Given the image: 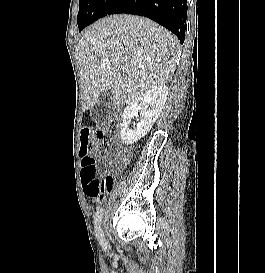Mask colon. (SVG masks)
<instances>
[{
	"label": "colon",
	"instance_id": "obj_1",
	"mask_svg": "<svg viewBox=\"0 0 265 273\" xmlns=\"http://www.w3.org/2000/svg\"><path fill=\"white\" fill-rule=\"evenodd\" d=\"M119 121L113 120L106 125L81 131L82 183L86 195L105 198L113 188V178L107 176L98 178L97 156L103 144L109 145V140L119 129ZM122 163L124 157H121Z\"/></svg>",
	"mask_w": 265,
	"mask_h": 273
}]
</instances>
